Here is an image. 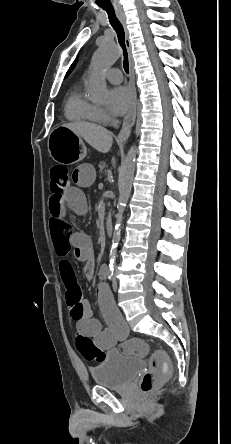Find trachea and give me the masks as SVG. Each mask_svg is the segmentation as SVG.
Returning <instances> with one entry per match:
<instances>
[{"label": "trachea", "mask_w": 231, "mask_h": 444, "mask_svg": "<svg viewBox=\"0 0 231 444\" xmlns=\"http://www.w3.org/2000/svg\"><path fill=\"white\" fill-rule=\"evenodd\" d=\"M106 12L108 14L109 21H110L112 27L114 28V30L117 33L119 44L121 45V47L123 49V55H124L123 67H124L125 72L128 73L129 72V62H128V55H127L126 46H125L124 28H123L121 22L116 17L114 10H106Z\"/></svg>", "instance_id": "1"}]
</instances>
